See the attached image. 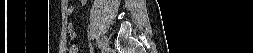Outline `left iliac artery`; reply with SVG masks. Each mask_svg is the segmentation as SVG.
I'll return each mask as SVG.
<instances>
[{
    "label": "left iliac artery",
    "instance_id": "1",
    "mask_svg": "<svg viewBox=\"0 0 253 53\" xmlns=\"http://www.w3.org/2000/svg\"><path fill=\"white\" fill-rule=\"evenodd\" d=\"M94 39H95V42H96L98 51H99V52H102V51H103V48H102L103 42H102V41H98V39H99V36H98V35H95V36H94Z\"/></svg>",
    "mask_w": 253,
    "mask_h": 53
}]
</instances>
